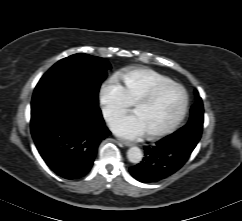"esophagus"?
Here are the masks:
<instances>
[{"mask_svg": "<svg viewBox=\"0 0 242 221\" xmlns=\"http://www.w3.org/2000/svg\"><path fill=\"white\" fill-rule=\"evenodd\" d=\"M118 141L120 143H122L123 145H125V146H132L133 145V143H131V142L127 141V140L121 139V138H118Z\"/></svg>", "mask_w": 242, "mask_h": 221, "instance_id": "34e87169", "label": "esophagus"}]
</instances>
